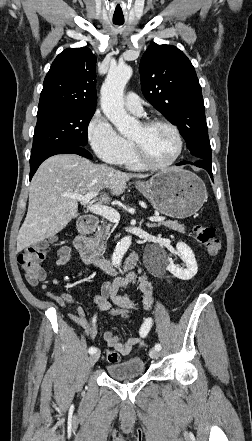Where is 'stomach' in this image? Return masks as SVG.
<instances>
[{"mask_svg":"<svg viewBox=\"0 0 252 441\" xmlns=\"http://www.w3.org/2000/svg\"><path fill=\"white\" fill-rule=\"evenodd\" d=\"M162 214L186 218L195 214L207 199L203 181L194 173L180 167L160 171L147 182L135 185Z\"/></svg>","mask_w":252,"mask_h":441,"instance_id":"obj_1","label":"stomach"}]
</instances>
